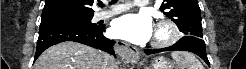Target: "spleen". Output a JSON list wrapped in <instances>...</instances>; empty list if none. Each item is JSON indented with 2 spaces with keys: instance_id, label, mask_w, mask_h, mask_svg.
<instances>
[{
  "instance_id": "3e777b00",
  "label": "spleen",
  "mask_w": 246,
  "mask_h": 69,
  "mask_svg": "<svg viewBox=\"0 0 246 69\" xmlns=\"http://www.w3.org/2000/svg\"><path fill=\"white\" fill-rule=\"evenodd\" d=\"M171 56L176 61L178 69H204L201 62L189 52L175 51Z\"/></svg>"
}]
</instances>
